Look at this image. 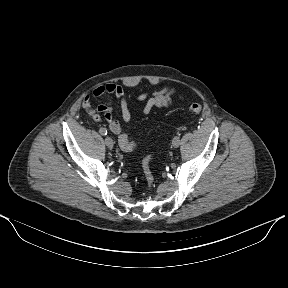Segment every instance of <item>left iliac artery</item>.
I'll list each match as a JSON object with an SVG mask.
<instances>
[{
    "instance_id": "left-iliac-artery-1",
    "label": "left iliac artery",
    "mask_w": 288,
    "mask_h": 288,
    "mask_svg": "<svg viewBox=\"0 0 288 288\" xmlns=\"http://www.w3.org/2000/svg\"><path fill=\"white\" fill-rule=\"evenodd\" d=\"M183 137V132L182 131H177L174 135H173V138L175 140H178L179 138H182Z\"/></svg>"
}]
</instances>
